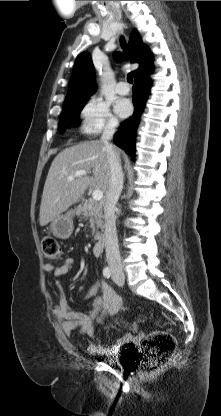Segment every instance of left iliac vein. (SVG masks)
Masks as SVG:
<instances>
[{
	"label": "left iliac vein",
	"instance_id": "4c4485c4",
	"mask_svg": "<svg viewBox=\"0 0 221 416\" xmlns=\"http://www.w3.org/2000/svg\"><path fill=\"white\" fill-rule=\"evenodd\" d=\"M113 280L118 286H123L124 284V277L118 278L115 274H113Z\"/></svg>",
	"mask_w": 221,
	"mask_h": 416
}]
</instances>
